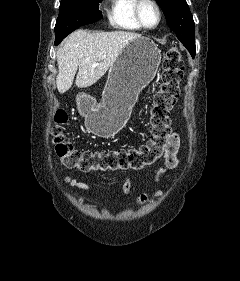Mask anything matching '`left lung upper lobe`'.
<instances>
[{"label":"left lung upper lobe","mask_w":240,"mask_h":281,"mask_svg":"<svg viewBox=\"0 0 240 281\" xmlns=\"http://www.w3.org/2000/svg\"><path fill=\"white\" fill-rule=\"evenodd\" d=\"M166 16L168 26L195 56L194 21L186 0H156Z\"/></svg>","instance_id":"obj_1"}]
</instances>
